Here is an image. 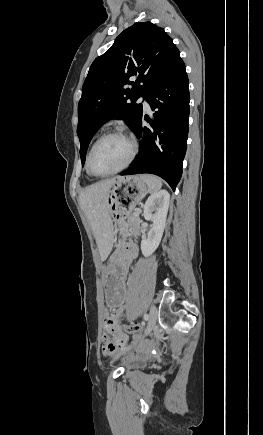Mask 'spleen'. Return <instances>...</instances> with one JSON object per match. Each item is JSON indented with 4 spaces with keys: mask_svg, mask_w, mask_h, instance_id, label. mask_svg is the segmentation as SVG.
I'll return each mask as SVG.
<instances>
[{
    "mask_svg": "<svg viewBox=\"0 0 263 435\" xmlns=\"http://www.w3.org/2000/svg\"><path fill=\"white\" fill-rule=\"evenodd\" d=\"M140 178L146 183L148 191L150 193H155L162 187V180L157 176L150 174H143Z\"/></svg>",
    "mask_w": 263,
    "mask_h": 435,
    "instance_id": "1",
    "label": "spleen"
}]
</instances>
